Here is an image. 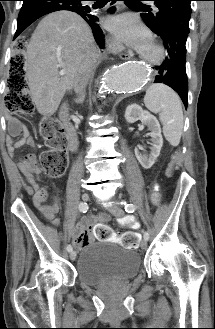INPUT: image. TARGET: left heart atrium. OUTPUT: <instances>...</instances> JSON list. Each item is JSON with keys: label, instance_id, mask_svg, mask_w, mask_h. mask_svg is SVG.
<instances>
[{"label": "left heart atrium", "instance_id": "obj_1", "mask_svg": "<svg viewBox=\"0 0 215 329\" xmlns=\"http://www.w3.org/2000/svg\"><path fill=\"white\" fill-rule=\"evenodd\" d=\"M108 27L117 41L138 51H146L151 46L150 32L132 14H123L110 19Z\"/></svg>", "mask_w": 215, "mask_h": 329}]
</instances>
